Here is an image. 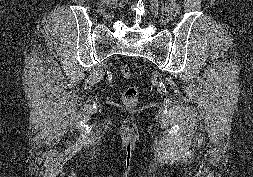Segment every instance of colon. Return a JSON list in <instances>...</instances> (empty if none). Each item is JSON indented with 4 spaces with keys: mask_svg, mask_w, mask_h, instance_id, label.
I'll list each match as a JSON object with an SVG mask.
<instances>
[{
    "mask_svg": "<svg viewBox=\"0 0 253 177\" xmlns=\"http://www.w3.org/2000/svg\"><path fill=\"white\" fill-rule=\"evenodd\" d=\"M120 73L125 79L132 77V70L128 65H121ZM139 98V89L136 86H129L122 92V99L126 105L135 106Z\"/></svg>",
    "mask_w": 253,
    "mask_h": 177,
    "instance_id": "5ec220e1",
    "label": "colon"
}]
</instances>
